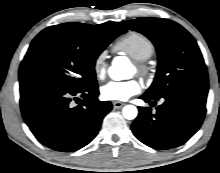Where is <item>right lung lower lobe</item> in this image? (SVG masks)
<instances>
[{
	"instance_id": "obj_1",
	"label": "right lung lower lobe",
	"mask_w": 220,
	"mask_h": 173,
	"mask_svg": "<svg viewBox=\"0 0 220 173\" xmlns=\"http://www.w3.org/2000/svg\"><path fill=\"white\" fill-rule=\"evenodd\" d=\"M98 86L71 90L43 81L20 82L23 118L36 139L61 152L76 151L97 135L111 102L98 100ZM83 103L74 106V101Z\"/></svg>"
}]
</instances>
